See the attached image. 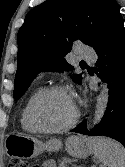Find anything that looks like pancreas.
Here are the masks:
<instances>
[{
    "instance_id": "1",
    "label": "pancreas",
    "mask_w": 125,
    "mask_h": 167,
    "mask_svg": "<svg viewBox=\"0 0 125 167\" xmlns=\"http://www.w3.org/2000/svg\"><path fill=\"white\" fill-rule=\"evenodd\" d=\"M59 167H68L66 158H64L62 161H59Z\"/></svg>"
}]
</instances>
